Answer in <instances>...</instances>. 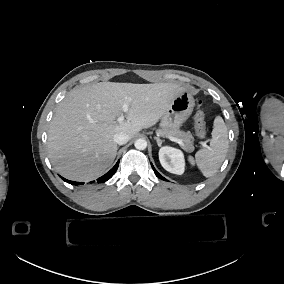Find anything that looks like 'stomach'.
<instances>
[{
	"instance_id": "1",
	"label": "stomach",
	"mask_w": 284,
	"mask_h": 284,
	"mask_svg": "<svg viewBox=\"0 0 284 284\" xmlns=\"http://www.w3.org/2000/svg\"><path fill=\"white\" fill-rule=\"evenodd\" d=\"M194 108V99L187 92L180 94L169 106L162 118L160 128L167 132L176 126L179 128L190 118ZM178 128V129H179Z\"/></svg>"
}]
</instances>
